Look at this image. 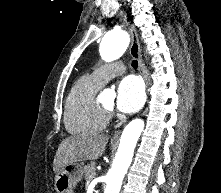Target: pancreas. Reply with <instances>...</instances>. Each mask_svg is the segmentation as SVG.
<instances>
[{
	"mask_svg": "<svg viewBox=\"0 0 221 193\" xmlns=\"http://www.w3.org/2000/svg\"><path fill=\"white\" fill-rule=\"evenodd\" d=\"M84 178L90 181L94 178L95 173V162H90L83 167Z\"/></svg>",
	"mask_w": 221,
	"mask_h": 193,
	"instance_id": "obj_1",
	"label": "pancreas"
}]
</instances>
